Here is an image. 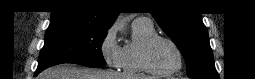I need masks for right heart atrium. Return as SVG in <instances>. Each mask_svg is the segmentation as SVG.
Masks as SVG:
<instances>
[{
	"instance_id": "right-heart-atrium-1",
	"label": "right heart atrium",
	"mask_w": 255,
	"mask_h": 79,
	"mask_svg": "<svg viewBox=\"0 0 255 79\" xmlns=\"http://www.w3.org/2000/svg\"><path fill=\"white\" fill-rule=\"evenodd\" d=\"M99 51L108 67L114 69L120 67L122 48L117 43L114 27L108 28L103 35L99 44Z\"/></svg>"
}]
</instances>
